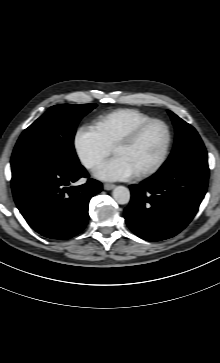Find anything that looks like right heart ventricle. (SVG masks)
<instances>
[{"instance_id": "obj_1", "label": "right heart ventricle", "mask_w": 220, "mask_h": 363, "mask_svg": "<svg viewBox=\"0 0 220 363\" xmlns=\"http://www.w3.org/2000/svg\"><path fill=\"white\" fill-rule=\"evenodd\" d=\"M149 119H152V117L138 109H118L99 116L95 120V128L111 147L122 135Z\"/></svg>"}]
</instances>
